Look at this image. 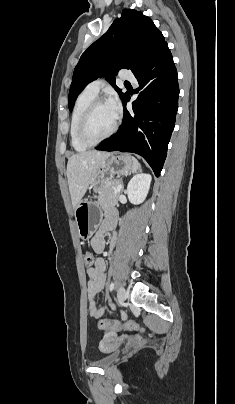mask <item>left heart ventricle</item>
<instances>
[{
	"label": "left heart ventricle",
	"instance_id": "1",
	"mask_svg": "<svg viewBox=\"0 0 235 404\" xmlns=\"http://www.w3.org/2000/svg\"><path fill=\"white\" fill-rule=\"evenodd\" d=\"M116 116L106 103L99 105L90 120L88 134L92 139L104 136L113 126Z\"/></svg>",
	"mask_w": 235,
	"mask_h": 404
}]
</instances>
